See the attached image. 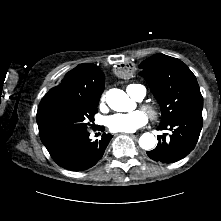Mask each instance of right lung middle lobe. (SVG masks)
Returning a JSON list of instances; mask_svg holds the SVG:
<instances>
[{"label": "right lung middle lobe", "mask_w": 221, "mask_h": 221, "mask_svg": "<svg viewBox=\"0 0 221 221\" xmlns=\"http://www.w3.org/2000/svg\"><path fill=\"white\" fill-rule=\"evenodd\" d=\"M99 100L90 103L55 100L38 108L37 123L49 153L65 147L93 127Z\"/></svg>", "instance_id": "1"}]
</instances>
